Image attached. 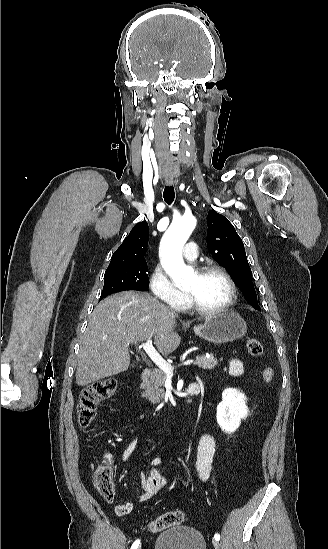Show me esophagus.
Masks as SVG:
<instances>
[{
    "instance_id": "obj_1",
    "label": "esophagus",
    "mask_w": 328,
    "mask_h": 549,
    "mask_svg": "<svg viewBox=\"0 0 328 549\" xmlns=\"http://www.w3.org/2000/svg\"><path fill=\"white\" fill-rule=\"evenodd\" d=\"M167 185H171L173 183V180H165Z\"/></svg>"
}]
</instances>
